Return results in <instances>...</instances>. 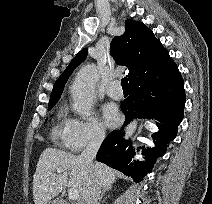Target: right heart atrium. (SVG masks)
Segmentation results:
<instances>
[{"label": "right heart atrium", "instance_id": "d8ad5b80", "mask_svg": "<svg viewBox=\"0 0 212 204\" xmlns=\"http://www.w3.org/2000/svg\"><path fill=\"white\" fill-rule=\"evenodd\" d=\"M105 136V129L96 117L70 118L65 145L73 152H80L87 147L100 144Z\"/></svg>", "mask_w": 212, "mask_h": 204}]
</instances>
